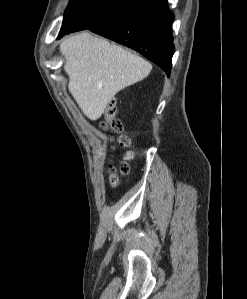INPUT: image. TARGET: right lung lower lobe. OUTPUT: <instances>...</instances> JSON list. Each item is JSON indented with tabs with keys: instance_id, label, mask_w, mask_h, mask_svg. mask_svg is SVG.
Segmentation results:
<instances>
[{
	"instance_id": "1",
	"label": "right lung lower lobe",
	"mask_w": 247,
	"mask_h": 299,
	"mask_svg": "<svg viewBox=\"0 0 247 299\" xmlns=\"http://www.w3.org/2000/svg\"><path fill=\"white\" fill-rule=\"evenodd\" d=\"M173 19L167 0H135L121 14L89 30L138 51L169 75Z\"/></svg>"
}]
</instances>
